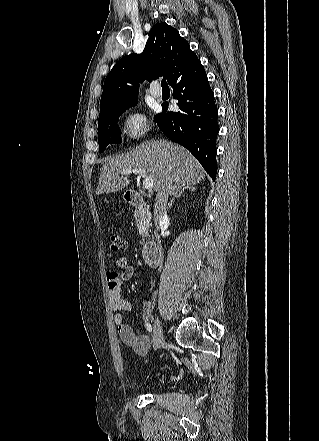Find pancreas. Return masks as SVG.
I'll list each match as a JSON object with an SVG mask.
<instances>
[{"mask_svg":"<svg viewBox=\"0 0 319 441\" xmlns=\"http://www.w3.org/2000/svg\"><path fill=\"white\" fill-rule=\"evenodd\" d=\"M134 218L143 239L148 236L149 228L151 227V213L148 209H137L134 213Z\"/></svg>","mask_w":319,"mask_h":441,"instance_id":"1","label":"pancreas"}]
</instances>
